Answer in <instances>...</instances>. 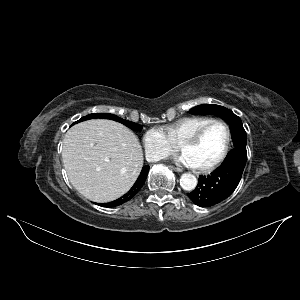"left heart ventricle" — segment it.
<instances>
[{
    "label": "left heart ventricle",
    "instance_id": "b2bd125f",
    "mask_svg": "<svg viewBox=\"0 0 300 300\" xmlns=\"http://www.w3.org/2000/svg\"><path fill=\"white\" fill-rule=\"evenodd\" d=\"M227 134L220 124L210 126L200 141L184 149L194 166H206L217 160L222 154L226 144Z\"/></svg>",
    "mask_w": 300,
    "mask_h": 300
}]
</instances>
